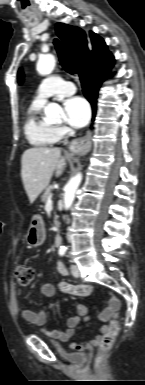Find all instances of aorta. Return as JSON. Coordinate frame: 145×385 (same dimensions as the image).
Masks as SVG:
<instances>
[{
  "instance_id": "obj_1",
  "label": "aorta",
  "mask_w": 145,
  "mask_h": 385,
  "mask_svg": "<svg viewBox=\"0 0 145 385\" xmlns=\"http://www.w3.org/2000/svg\"><path fill=\"white\" fill-rule=\"evenodd\" d=\"M55 64L56 60L53 55H44L37 62V71L40 75H49L53 71ZM44 113L47 118H55L62 113V108L57 103H49L45 107ZM81 180L82 174L78 173L66 184L64 189V208L66 210L71 207Z\"/></svg>"
}]
</instances>
